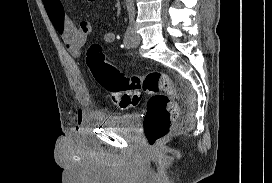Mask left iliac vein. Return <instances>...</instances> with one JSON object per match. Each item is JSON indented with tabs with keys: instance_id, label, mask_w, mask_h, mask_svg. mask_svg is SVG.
I'll list each match as a JSON object with an SVG mask.
<instances>
[{
	"instance_id": "left-iliac-vein-1",
	"label": "left iliac vein",
	"mask_w": 272,
	"mask_h": 183,
	"mask_svg": "<svg viewBox=\"0 0 272 183\" xmlns=\"http://www.w3.org/2000/svg\"><path fill=\"white\" fill-rule=\"evenodd\" d=\"M140 43L139 35L133 30V37H132V46L137 47Z\"/></svg>"
}]
</instances>
